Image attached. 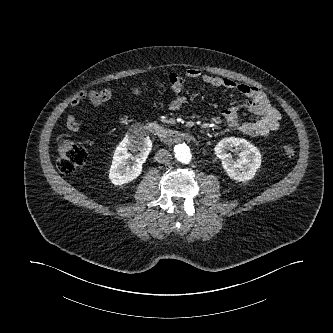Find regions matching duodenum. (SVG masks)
<instances>
[{
  "mask_svg": "<svg viewBox=\"0 0 333 333\" xmlns=\"http://www.w3.org/2000/svg\"><path fill=\"white\" fill-rule=\"evenodd\" d=\"M147 131L153 137H156L167 144H174L181 141L189 142L194 139L193 136L189 133L166 128L157 123L148 124Z\"/></svg>",
  "mask_w": 333,
  "mask_h": 333,
  "instance_id": "obj_1",
  "label": "duodenum"
}]
</instances>
